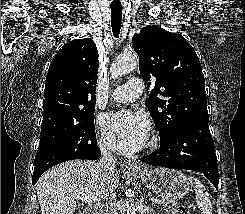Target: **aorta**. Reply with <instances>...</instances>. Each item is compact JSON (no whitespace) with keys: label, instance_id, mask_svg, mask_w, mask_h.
Masks as SVG:
<instances>
[{"label":"aorta","instance_id":"aorta-1","mask_svg":"<svg viewBox=\"0 0 245 214\" xmlns=\"http://www.w3.org/2000/svg\"><path fill=\"white\" fill-rule=\"evenodd\" d=\"M138 65V57L136 54H124L118 57L110 67L112 78H118L133 70ZM127 214H136L133 193L129 190V200L127 204Z\"/></svg>","mask_w":245,"mask_h":214}]
</instances>
